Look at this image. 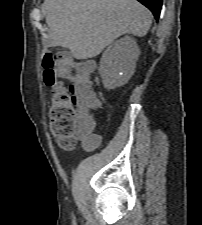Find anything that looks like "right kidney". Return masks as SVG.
I'll return each mask as SVG.
<instances>
[{
	"label": "right kidney",
	"mask_w": 202,
	"mask_h": 225,
	"mask_svg": "<svg viewBox=\"0 0 202 225\" xmlns=\"http://www.w3.org/2000/svg\"><path fill=\"white\" fill-rule=\"evenodd\" d=\"M139 56L136 41L125 36L112 43L103 53L99 73L106 89H114L128 82L135 71Z\"/></svg>",
	"instance_id": "1"
}]
</instances>
